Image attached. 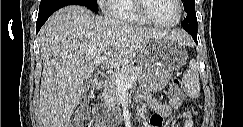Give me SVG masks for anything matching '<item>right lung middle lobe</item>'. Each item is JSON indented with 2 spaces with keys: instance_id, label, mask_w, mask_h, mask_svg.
<instances>
[{
  "instance_id": "right-lung-middle-lobe-1",
  "label": "right lung middle lobe",
  "mask_w": 243,
  "mask_h": 127,
  "mask_svg": "<svg viewBox=\"0 0 243 127\" xmlns=\"http://www.w3.org/2000/svg\"><path fill=\"white\" fill-rule=\"evenodd\" d=\"M52 1H55V0H42L40 3V6L50 3ZM77 1L80 2L83 6L91 9L94 12L98 11V6H97L95 0H77Z\"/></svg>"
}]
</instances>
